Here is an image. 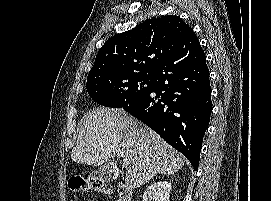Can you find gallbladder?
<instances>
[{
  "mask_svg": "<svg viewBox=\"0 0 271 201\" xmlns=\"http://www.w3.org/2000/svg\"><path fill=\"white\" fill-rule=\"evenodd\" d=\"M96 174L98 178L102 181H113L117 176L116 167L111 161H107L105 164H103L97 169Z\"/></svg>",
  "mask_w": 271,
  "mask_h": 201,
  "instance_id": "bac80fb5",
  "label": "gallbladder"
}]
</instances>
